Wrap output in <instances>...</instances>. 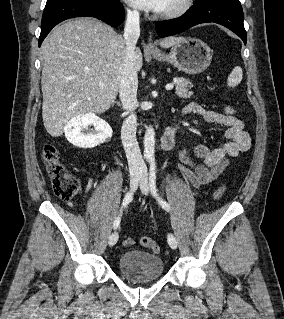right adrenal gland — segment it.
Instances as JSON below:
<instances>
[{
	"mask_svg": "<svg viewBox=\"0 0 284 319\" xmlns=\"http://www.w3.org/2000/svg\"><path fill=\"white\" fill-rule=\"evenodd\" d=\"M118 106H120L121 105V103L119 102V101H116L115 102Z\"/></svg>",
	"mask_w": 284,
	"mask_h": 319,
	"instance_id": "right-adrenal-gland-1",
	"label": "right adrenal gland"
}]
</instances>
